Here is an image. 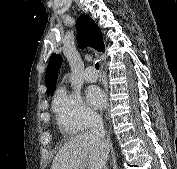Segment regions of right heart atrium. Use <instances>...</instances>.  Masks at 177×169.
Listing matches in <instances>:
<instances>
[{"mask_svg": "<svg viewBox=\"0 0 177 169\" xmlns=\"http://www.w3.org/2000/svg\"><path fill=\"white\" fill-rule=\"evenodd\" d=\"M53 111L59 128L66 134L83 131L98 119V115L78 93L64 88H59L55 93Z\"/></svg>", "mask_w": 177, "mask_h": 169, "instance_id": "obj_1", "label": "right heart atrium"}]
</instances>
